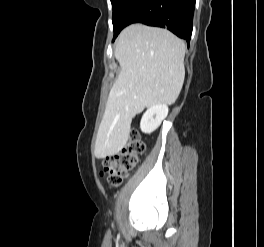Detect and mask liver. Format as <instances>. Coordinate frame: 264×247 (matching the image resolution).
<instances>
[{"instance_id": "6515ba94", "label": "liver", "mask_w": 264, "mask_h": 247, "mask_svg": "<svg viewBox=\"0 0 264 247\" xmlns=\"http://www.w3.org/2000/svg\"><path fill=\"white\" fill-rule=\"evenodd\" d=\"M185 43L166 29L132 24L118 37L121 72L113 84L95 142L99 159L127 143L132 118L146 107L173 104L185 78Z\"/></svg>"}]
</instances>
